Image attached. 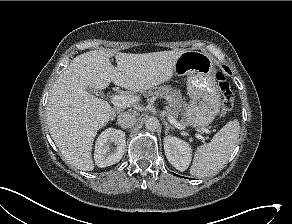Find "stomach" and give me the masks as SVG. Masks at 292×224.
<instances>
[{"instance_id":"obj_1","label":"stomach","mask_w":292,"mask_h":224,"mask_svg":"<svg viewBox=\"0 0 292 224\" xmlns=\"http://www.w3.org/2000/svg\"><path fill=\"white\" fill-rule=\"evenodd\" d=\"M214 64L210 55L199 51H184L175 62L174 74L187 76V91L191 98L182 119L185 125L207 126L219 111L221 96Z\"/></svg>"}]
</instances>
